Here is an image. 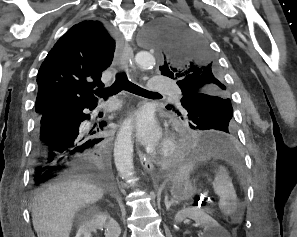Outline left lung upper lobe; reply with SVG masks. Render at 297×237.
Masks as SVG:
<instances>
[{"label":"left lung upper lobe","instance_id":"left-lung-upper-lobe-1","mask_svg":"<svg viewBox=\"0 0 297 237\" xmlns=\"http://www.w3.org/2000/svg\"><path fill=\"white\" fill-rule=\"evenodd\" d=\"M148 36L163 61L161 74L177 80L182 91L177 114L186 117L189 125L225 130L236 138L229 91L207 43L183 27L162 21L151 25Z\"/></svg>","mask_w":297,"mask_h":237}]
</instances>
